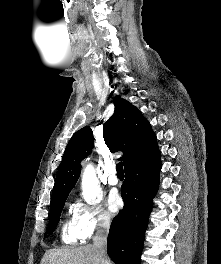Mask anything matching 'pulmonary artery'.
<instances>
[{"mask_svg":"<svg viewBox=\"0 0 221 264\" xmlns=\"http://www.w3.org/2000/svg\"><path fill=\"white\" fill-rule=\"evenodd\" d=\"M108 182L111 185H117L119 182L115 167H111V169H110V173L108 176Z\"/></svg>","mask_w":221,"mask_h":264,"instance_id":"pulmonary-artery-1","label":"pulmonary artery"}]
</instances>
